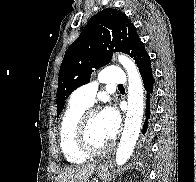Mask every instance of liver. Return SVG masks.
I'll return each mask as SVG.
<instances>
[{
  "label": "liver",
  "mask_w": 196,
  "mask_h": 182,
  "mask_svg": "<svg viewBox=\"0 0 196 182\" xmlns=\"http://www.w3.org/2000/svg\"><path fill=\"white\" fill-rule=\"evenodd\" d=\"M96 164H87L65 169L58 177L56 182H86L92 175Z\"/></svg>",
  "instance_id": "obj_1"
}]
</instances>
